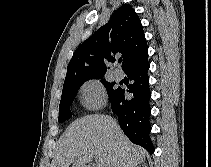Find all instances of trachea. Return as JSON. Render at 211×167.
Returning <instances> with one entry per match:
<instances>
[{
    "label": "trachea",
    "instance_id": "trachea-1",
    "mask_svg": "<svg viewBox=\"0 0 211 167\" xmlns=\"http://www.w3.org/2000/svg\"><path fill=\"white\" fill-rule=\"evenodd\" d=\"M119 63H121L122 62V59H119V61H118Z\"/></svg>",
    "mask_w": 211,
    "mask_h": 167
}]
</instances>
